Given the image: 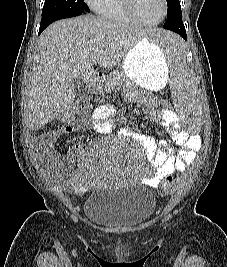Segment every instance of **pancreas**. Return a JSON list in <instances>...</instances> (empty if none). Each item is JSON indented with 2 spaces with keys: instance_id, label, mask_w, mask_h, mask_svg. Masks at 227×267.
<instances>
[{
  "instance_id": "pancreas-1",
  "label": "pancreas",
  "mask_w": 227,
  "mask_h": 267,
  "mask_svg": "<svg viewBox=\"0 0 227 267\" xmlns=\"http://www.w3.org/2000/svg\"><path fill=\"white\" fill-rule=\"evenodd\" d=\"M128 84L130 82L126 76L121 72L115 71L106 77L104 88L106 91H111L116 85L125 86Z\"/></svg>"
}]
</instances>
